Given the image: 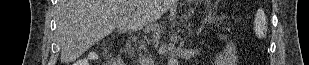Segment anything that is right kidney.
<instances>
[{
  "instance_id": "1",
  "label": "right kidney",
  "mask_w": 309,
  "mask_h": 65,
  "mask_svg": "<svg viewBox=\"0 0 309 65\" xmlns=\"http://www.w3.org/2000/svg\"><path fill=\"white\" fill-rule=\"evenodd\" d=\"M112 64H113V65H122V64H123V61H122V59L119 57V58L115 59V61H113Z\"/></svg>"
}]
</instances>
